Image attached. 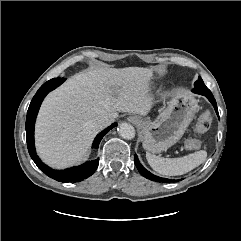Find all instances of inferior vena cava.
<instances>
[{
    "label": "inferior vena cava",
    "instance_id": "obj_1",
    "mask_svg": "<svg viewBox=\"0 0 241 241\" xmlns=\"http://www.w3.org/2000/svg\"><path fill=\"white\" fill-rule=\"evenodd\" d=\"M110 123H111V119L106 115H102L94 121V125L98 129H102L107 125H109Z\"/></svg>",
    "mask_w": 241,
    "mask_h": 241
}]
</instances>
